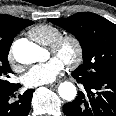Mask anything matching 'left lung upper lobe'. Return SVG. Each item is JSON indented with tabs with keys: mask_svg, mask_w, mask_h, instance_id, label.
<instances>
[{
	"mask_svg": "<svg viewBox=\"0 0 116 116\" xmlns=\"http://www.w3.org/2000/svg\"><path fill=\"white\" fill-rule=\"evenodd\" d=\"M75 35L83 51V64L75 72L84 78L116 73V24L90 12L48 19Z\"/></svg>",
	"mask_w": 116,
	"mask_h": 116,
	"instance_id": "left-lung-upper-lobe-1",
	"label": "left lung upper lobe"
}]
</instances>
